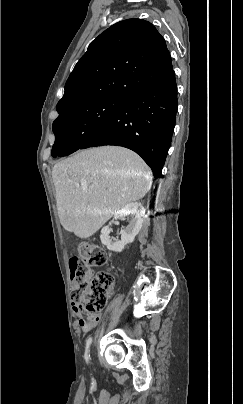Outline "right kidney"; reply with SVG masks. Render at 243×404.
<instances>
[{"mask_svg":"<svg viewBox=\"0 0 243 404\" xmlns=\"http://www.w3.org/2000/svg\"><path fill=\"white\" fill-rule=\"evenodd\" d=\"M145 214V208H143L140 202H132V204H127L125 208L122 210H117L114 212L115 220H121V218H128L129 224L126 228H122L121 240L120 242H112L110 240V228L109 226H105L101 230L100 240L104 246H107L108 250H112V252H122L124 250L126 244H131L134 242L135 236L139 234L142 224H143V216Z\"/></svg>","mask_w":243,"mask_h":404,"instance_id":"obj_1","label":"right kidney"}]
</instances>
